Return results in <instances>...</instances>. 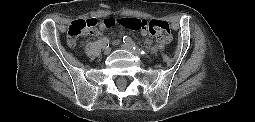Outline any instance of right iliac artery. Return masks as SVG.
Returning <instances> with one entry per match:
<instances>
[{
  "label": "right iliac artery",
  "mask_w": 255,
  "mask_h": 122,
  "mask_svg": "<svg viewBox=\"0 0 255 122\" xmlns=\"http://www.w3.org/2000/svg\"><path fill=\"white\" fill-rule=\"evenodd\" d=\"M102 45L104 48H107L109 46V39L108 38H103L102 40Z\"/></svg>",
  "instance_id": "1"
}]
</instances>
